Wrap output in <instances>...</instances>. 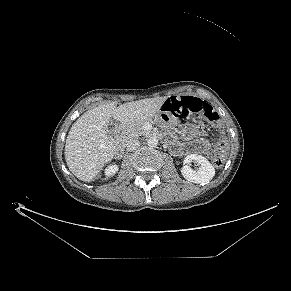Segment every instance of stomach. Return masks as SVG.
Wrapping results in <instances>:
<instances>
[{"label": "stomach", "instance_id": "obj_1", "mask_svg": "<svg viewBox=\"0 0 291 291\" xmlns=\"http://www.w3.org/2000/svg\"><path fill=\"white\" fill-rule=\"evenodd\" d=\"M171 119V115L164 112L157 113L154 117L150 119V121L158 124H164Z\"/></svg>", "mask_w": 291, "mask_h": 291}]
</instances>
